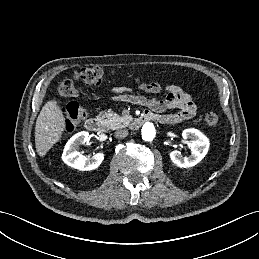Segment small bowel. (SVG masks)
I'll return each instance as SVG.
<instances>
[{
  "label": "small bowel",
  "mask_w": 259,
  "mask_h": 259,
  "mask_svg": "<svg viewBox=\"0 0 259 259\" xmlns=\"http://www.w3.org/2000/svg\"><path fill=\"white\" fill-rule=\"evenodd\" d=\"M138 84L139 88L146 93L157 94L161 91V85L157 82L145 83L138 81ZM166 91V98L160 100L132 94L126 87H116L113 100L146 106L149 108L150 113L155 115V120L163 124L178 123L196 115L197 107L190 94L177 85H168ZM166 109H178V111L174 114H165Z\"/></svg>",
  "instance_id": "obj_1"
}]
</instances>
